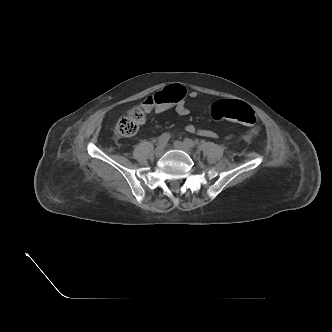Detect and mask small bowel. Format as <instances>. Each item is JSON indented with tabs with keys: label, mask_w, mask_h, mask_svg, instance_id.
Wrapping results in <instances>:
<instances>
[{
	"label": "small bowel",
	"mask_w": 332,
	"mask_h": 332,
	"mask_svg": "<svg viewBox=\"0 0 332 332\" xmlns=\"http://www.w3.org/2000/svg\"><path fill=\"white\" fill-rule=\"evenodd\" d=\"M189 97L191 99H196L198 97V92L197 91H190L189 92ZM145 111L146 112H150L152 110V106H145ZM171 109H174L175 112L180 115V116H187L190 113L189 108L187 107L185 101L182 99L181 101L175 103V104H168V105H157L154 108V111L158 114L161 113H165ZM186 131L190 134H195L201 137H207V138H211V139H216L218 137V135L211 130H207V129H200L195 127L192 124H188L186 126ZM256 133V131H251L250 133H248L247 137H251L252 135H254ZM232 138V136H229L228 139Z\"/></svg>",
	"instance_id": "obj_1"
}]
</instances>
